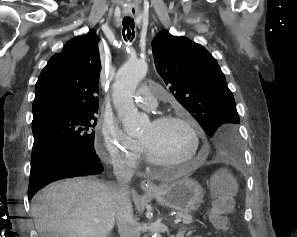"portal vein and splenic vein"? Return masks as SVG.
Returning <instances> with one entry per match:
<instances>
[{
	"label": "portal vein and splenic vein",
	"mask_w": 297,
	"mask_h": 237,
	"mask_svg": "<svg viewBox=\"0 0 297 237\" xmlns=\"http://www.w3.org/2000/svg\"><path fill=\"white\" fill-rule=\"evenodd\" d=\"M94 221L97 222V223H99V220H97V219H94ZM180 222H181V219H180V218H176V219L174 220V223H175V224H178V223H180Z\"/></svg>",
	"instance_id": "portal-vein-and-splenic-vein-1"
}]
</instances>
